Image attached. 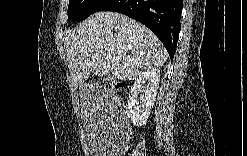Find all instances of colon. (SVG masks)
Masks as SVG:
<instances>
[{
  "label": "colon",
  "mask_w": 247,
  "mask_h": 156,
  "mask_svg": "<svg viewBox=\"0 0 247 156\" xmlns=\"http://www.w3.org/2000/svg\"><path fill=\"white\" fill-rule=\"evenodd\" d=\"M109 84L114 91H121L124 88V84L118 80L112 79Z\"/></svg>",
  "instance_id": "5ec220e1"
}]
</instances>
